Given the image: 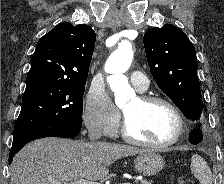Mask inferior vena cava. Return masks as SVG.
Instances as JSON below:
<instances>
[{
  "label": "inferior vena cava",
  "instance_id": "inferior-vena-cava-1",
  "mask_svg": "<svg viewBox=\"0 0 224 184\" xmlns=\"http://www.w3.org/2000/svg\"><path fill=\"white\" fill-rule=\"evenodd\" d=\"M88 131H89V133H88L89 139L93 142L98 140L101 137V129L100 128L92 127Z\"/></svg>",
  "mask_w": 224,
  "mask_h": 184
}]
</instances>
